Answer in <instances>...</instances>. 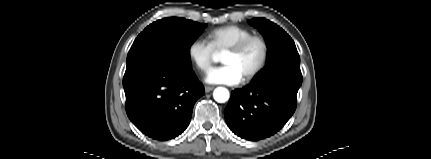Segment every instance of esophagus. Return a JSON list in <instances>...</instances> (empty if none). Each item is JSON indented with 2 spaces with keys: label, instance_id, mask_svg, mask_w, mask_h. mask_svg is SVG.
I'll list each match as a JSON object with an SVG mask.
<instances>
[{
  "label": "esophagus",
  "instance_id": "1",
  "mask_svg": "<svg viewBox=\"0 0 431 159\" xmlns=\"http://www.w3.org/2000/svg\"><path fill=\"white\" fill-rule=\"evenodd\" d=\"M214 89L213 86H205V92L208 93Z\"/></svg>",
  "mask_w": 431,
  "mask_h": 159
}]
</instances>
